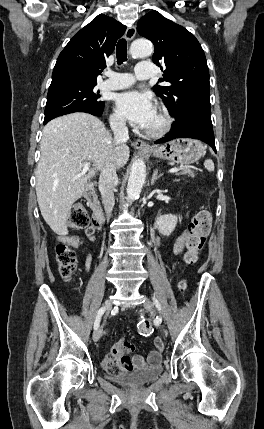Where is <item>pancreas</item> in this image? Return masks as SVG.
<instances>
[{
    "label": "pancreas",
    "instance_id": "1",
    "mask_svg": "<svg viewBox=\"0 0 264 429\" xmlns=\"http://www.w3.org/2000/svg\"><path fill=\"white\" fill-rule=\"evenodd\" d=\"M177 175H178V176H179V175H188V176H190V177H195L194 172L190 169V167H189V166H184V167L182 168V171H181L180 173H177Z\"/></svg>",
    "mask_w": 264,
    "mask_h": 429
}]
</instances>
